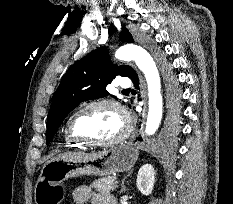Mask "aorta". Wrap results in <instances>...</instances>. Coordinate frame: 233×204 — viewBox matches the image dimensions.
<instances>
[{"instance_id":"aorta-1","label":"aorta","mask_w":233,"mask_h":204,"mask_svg":"<svg viewBox=\"0 0 233 204\" xmlns=\"http://www.w3.org/2000/svg\"><path fill=\"white\" fill-rule=\"evenodd\" d=\"M115 57L121 61L134 60L138 68L145 75L149 97V111L145 133L151 136L158 130L163 113L161 81L156 63L144 48L135 44L121 46L116 51Z\"/></svg>"}]
</instances>
